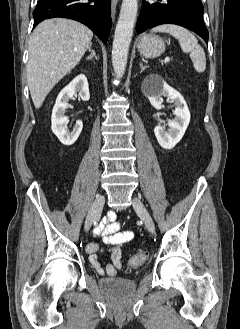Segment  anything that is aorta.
<instances>
[{"mask_svg":"<svg viewBox=\"0 0 240 329\" xmlns=\"http://www.w3.org/2000/svg\"><path fill=\"white\" fill-rule=\"evenodd\" d=\"M137 11L138 0L122 1L112 47L113 70L116 77L119 78L123 76L126 69Z\"/></svg>","mask_w":240,"mask_h":329,"instance_id":"aorta-1","label":"aorta"}]
</instances>
